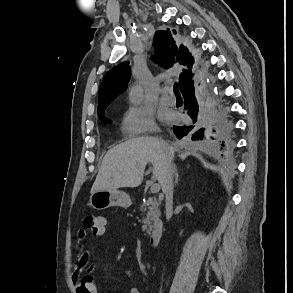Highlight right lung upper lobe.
Segmentation results:
<instances>
[{
  "mask_svg": "<svg viewBox=\"0 0 293 293\" xmlns=\"http://www.w3.org/2000/svg\"><path fill=\"white\" fill-rule=\"evenodd\" d=\"M173 34H176L175 30H173ZM153 44L161 51V54L156 59L162 67L170 68L174 63L187 66L188 69H183L179 77L180 89L193 79L194 73L191 70L193 57L186 47L183 45L178 47L175 44V40L169 30L157 31ZM130 76L128 62L120 64L105 75L99 89L98 116H104V109L117 94L124 90Z\"/></svg>",
  "mask_w": 293,
  "mask_h": 293,
  "instance_id": "obj_1",
  "label": "right lung upper lobe"
}]
</instances>
